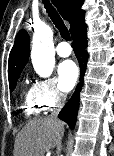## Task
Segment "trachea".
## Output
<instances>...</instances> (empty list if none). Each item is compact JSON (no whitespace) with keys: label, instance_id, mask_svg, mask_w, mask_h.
Returning a JSON list of instances; mask_svg holds the SVG:
<instances>
[{"label":"trachea","instance_id":"trachea-1","mask_svg":"<svg viewBox=\"0 0 114 156\" xmlns=\"http://www.w3.org/2000/svg\"><path fill=\"white\" fill-rule=\"evenodd\" d=\"M43 3L45 5V8L47 10V13H48L49 17L51 18V20L53 21V23L55 24V26L59 30L60 35L65 40L71 41V37H70L68 29L66 28L63 20L61 19V17L57 13V11L54 9V7L51 5L49 0H43Z\"/></svg>","mask_w":114,"mask_h":156}]
</instances>
